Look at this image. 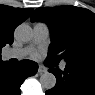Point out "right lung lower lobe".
Returning a JSON list of instances; mask_svg holds the SVG:
<instances>
[{
  "label": "right lung lower lobe",
  "mask_w": 95,
  "mask_h": 95,
  "mask_svg": "<svg viewBox=\"0 0 95 95\" xmlns=\"http://www.w3.org/2000/svg\"><path fill=\"white\" fill-rule=\"evenodd\" d=\"M37 70L38 65L30 60H23L16 65L0 62V95H20L23 81L35 75Z\"/></svg>",
  "instance_id": "right-lung-lower-lobe-1"
}]
</instances>
